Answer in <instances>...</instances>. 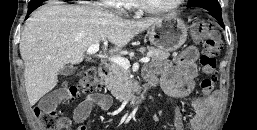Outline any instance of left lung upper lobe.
Masks as SVG:
<instances>
[{
  "label": "left lung upper lobe",
  "mask_w": 257,
  "mask_h": 130,
  "mask_svg": "<svg viewBox=\"0 0 257 130\" xmlns=\"http://www.w3.org/2000/svg\"><path fill=\"white\" fill-rule=\"evenodd\" d=\"M189 6L201 7L204 9L221 8L218 0H188Z\"/></svg>",
  "instance_id": "1"
}]
</instances>
